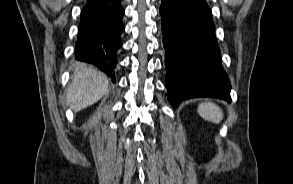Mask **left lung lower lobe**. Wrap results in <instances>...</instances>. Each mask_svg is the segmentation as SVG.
<instances>
[{"label": "left lung lower lobe", "instance_id": "left-lung-lower-lobe-1", "mask_svg": "<svg viewBox=\"0 0 293 184\" xmlns=\"http://www.w3.org/2000/svg\"><path fill=\"white\" fill-rule=\"evenodd\" d=\"M166 88L173 107L212 97L231 101L230 81L221 66L212 12L205 0H162Z\"/></svg>", "mask_w": 293, "mask_h": 184}]
</instances>
